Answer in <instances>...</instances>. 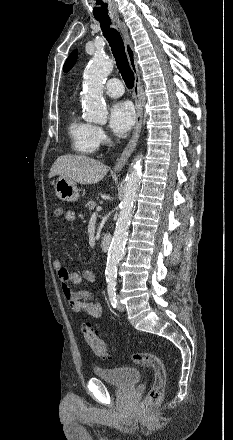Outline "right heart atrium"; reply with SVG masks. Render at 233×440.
Instances as JSON below:
<instances>
[{
    "label": "right heart atrium",
    "instance_id": "d8ad5b80",
    "mask_svg": "<svg viewBox=\"0 0 233 440\" xmlns=\"http://www.w3.org/2000/svg\"><path fill=\"white\" fill-rule=\"evenodd\" d=\"M95 138L98 145H104L108 142L107 135L101 127H95Z\"/></svg>",
    "mask_w": 233,
    "mask_h": 440
}]
</instances>
